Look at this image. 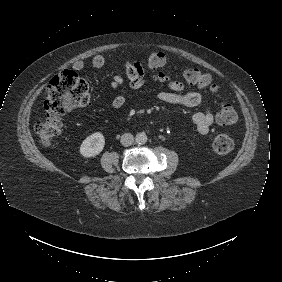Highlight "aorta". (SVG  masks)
I'll use <instances>...</instances> for the list:
<instances>
[{"instance_id": "obj_1", "label": "aorta", "mask_w": 282, "mask_h": 282, "mask_svg": "<svg viewBox=\"0 0 282 282\" xmlns=\"http://www.w3.org/2000/svg\"><path fill=\"white\" fill-rule=\"evenodd\" d=\"M148 141V137L145 132H139L135 136V142L140 145L146 144Z\"/></svg>"}]
</instances>
